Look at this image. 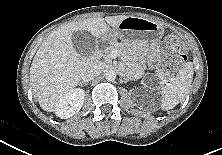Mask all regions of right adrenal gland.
I'll use <instances>...</instances> for the list:
<instances>
[{
	"instance_id": "2a0ac1e0",
	"label": "right adrenal gland",
	"mask_w": 222,
	"mask_h": 155,
	"mask_svg": "<svg viewBox=\"0 0 222 155\" xmlns=\"http://www.w3.org/2000/svg\"><path fill=\"white\" fill-rule=\"evenodd\" d=\"M87 84H88V82H80L79 83V85H81V86H83V85L86 86Z\"/></svg>"
}]
</instances>
